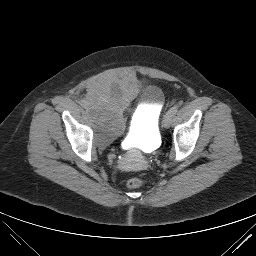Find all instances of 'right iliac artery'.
<instances>
[{
  "mask_svg": "<svg viewBox=\"0 0 256 256\" xmlns=\"http://www.w3.org/2000/svg\"><path fill=\"white\" fill-rule=\"evenodd\" d=\"M81 105L85 106L86 105V101L82 100Z\"/></svg>",
  "mask_w": 256,
  "mask_h": 256,
  "instance_id": "1",
  "label": "right iliac artery"
}]
</instances>
